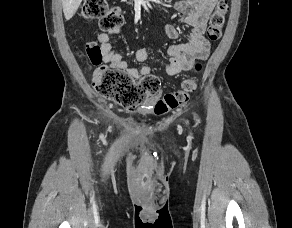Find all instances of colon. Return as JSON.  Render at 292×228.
I'll return each instance as SVG.
<instances>
[{
	"instance_id": "1",
	"label": "colon",
	"mask_w": 292,
	"mask_h": 228,
	"mask_svg": "<svg viewBox=\"0 0 292 228\" xmlns=\"http://www.w3.org/2000/svg\"><path fill=\"white\" fill-rule=\"evenodd\" d=\"M228 11L227 1L219 0L207 29L210 40L220 39ZM81 16L88 20H99L100 28L106 33L118 32L124 25V17L120 9L117 7L109 9L106 0H85L81 7ZM81 54L93 66H100L103 59L102 50L95 42L87 43ZM194 69L200 71L201 65L195 64ZM92 85L100 96L127 108L144 103L149 97L158 94L160 89L159 79L154 75L145 76L137 82L125 71L102 66L94 71ZM196 87L197 82L194 78H186L182 82L181 89L167 93L157 101L155 112L164 114L185 104Z\"/></svg>"
}]
</instances>
